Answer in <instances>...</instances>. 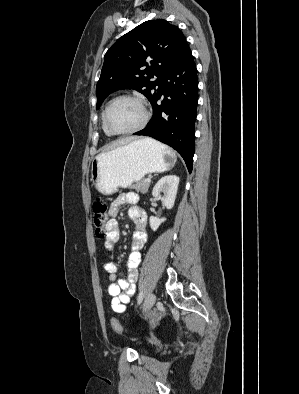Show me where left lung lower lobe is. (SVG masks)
<instances>
[{
  "instance_id": "0a47b994",
  "label": "left lung lower lobe",
  "mask_w": 299,
  "mask_h": 394,
  "mask_svg": "<svg viewBox=\"0 0 299 394\" xmlns=\"http://www.w3.org/2000/svg\"><path fill=\"white\" fill-rule=\"evenodd\" d=\"M157 86L150 100L153 116L148 125L135 135L150 136L174 148L191 173L198 79L188 44L160 76ZM160 99H163L162 103L158 104Z\"/></svg>"
}]
</instances>
